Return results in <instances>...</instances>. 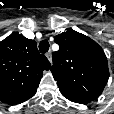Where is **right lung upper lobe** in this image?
I'll return each mask as SVG.
<instances>
[{
  "mask_svg": "<svg viewBox=\"0 0 114 114\" xmlns=\"http://www.w3.org/2000/svg\"><path fill=\"white\" fill-rule=\"evenodd\" d=\"M50 67L34 40L13 32L0 42V101L16 105L34 96Z\"/></svg>",
  "mask_w": 114,
  "mask_h": 114,
  "instance_id": "cb5924a9",
  "label": "right lung upper lobe"
}]
</instances>
